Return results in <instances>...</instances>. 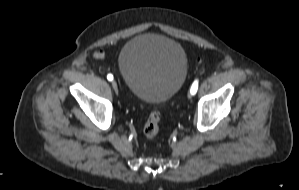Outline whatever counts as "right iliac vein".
Here are the masks:
<instances>
[{"mask_svg": "<svg viewBox=\"0 0 299 190\" xmlns=\"http://www.w3.org/2000/svg\"><path fill=\"white\" fill-rule=\"evenodd\" d=\"M112 87L115 90V92L117 93L118 92V84L115 80L112 81Z\"/></svg>", "mask_w": 299, "mask_h": 190, "instance_id": "right-iliac-vein-1", "label": "right iliac vein"}]
</instances>
